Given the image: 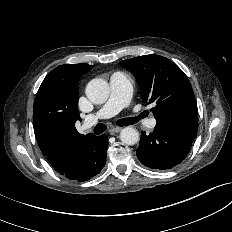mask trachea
<instances>
[{"label": "trachea", "mask_w": 232, "mask_h": 232, "mask_svg": "<svg viewBox=\"0 0 232 232\" xmlns=\"http://www.w3.org/2000/svg\"><path fill=\"white\" fill-rule=\"evenodd\" d=\"M143 117H144V115L141 114L139 117H135V118L119 119V120L116 121V125H118V126H126V125L135 124L140 118H143ZM106 129H107V126L105 124L98 123L94 128V133L96 135H99V134L103 133Z\"/></svg>", "instance_id": "trachea-1"}]
</instances>
